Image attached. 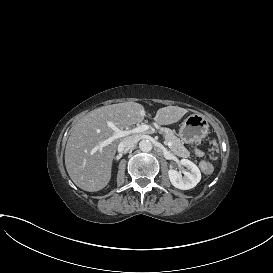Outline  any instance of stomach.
<instances>
[{
  "instance_id": "obj_1",
  "label": "stomach",
  "mask_w": 273,
  "mask_h": 273,
  "mask_svg": "<svg viewBox=\"0 0 273 273\" xmlns=\"http://www.w3.org/2000/svg\"><path fill=\"white\" fill-rule=\"evenodd\" d=\"M208 131L209 124L206 117L201 114H192L182 122L178 136L183 143H193L205 138Z\"/></svg>"
}]
</instances>
